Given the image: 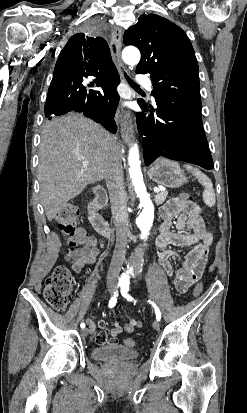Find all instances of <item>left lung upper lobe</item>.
I'll return each instance as SVG.
<instances>
[{
	"label": "left lung upper lobe",
	"mask_w": 247,
	"mask_h": 413,
	"mask_svg": "<svg viewBox=\"0 0 247 413\" xmlns=\"http://www.w3.org/2000/svg\"><path fill=\"white\" fill-rule=\"evenodd\" d=\"M124 44L141 52L139 74H151L155 101H172L201 110L199 69L186 33L169 20L143 14L124 34Z\"/></svg>",
	"instance_id": "5c2ea615"
}]
</instances>
